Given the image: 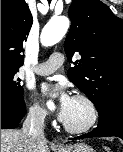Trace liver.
Returning a JSON list of instances; mask_svg holds the SVG:
<instances>
[{"label": "liver", "mask_w": 123, "mask_h": 152, "mask_svg": "<svg viewBox=\"0 0 123 152\" xmlns=\"http://www.w3.org/2000/svg\"><path fill=\"white\" fill-rule=\"evenodd\" d=\"M1 152H49L46 140H31L22 130H1Z\"/></svg>", "instance_id": "obj_1"}]
</instances>
